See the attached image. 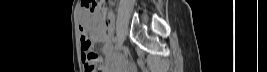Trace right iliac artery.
Returning <instances> with one entry per match:
<instances>
[{"label":"right iliac artery","mask_w":267,"mask_h":72,"mask_svg":"<svg viewBox=\"0 0 267 72\" xmlns=\"http://www.w3.org/2000/svg\"><path fill=\"white\" fill-rule=\"evenodd\" d=\"M113 43H114V46H115V48H116V47H117V45H118V43H119V42H118V39H117V38H115V39H114V41H113Z\"/></svg>","instance_id":"obj_1"}]
</instances>
